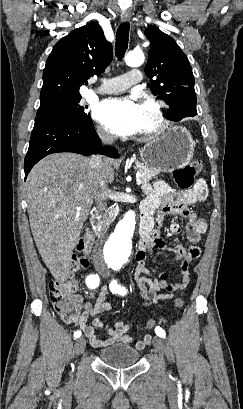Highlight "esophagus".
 Masks as SVG:
<instances>
[{
    "label": "esophagus",
    "instance_id": "34e87169",
    "mask_svg": "<svg viewBox=\"0 0 243 409\" xmlns=\"http://www.w3.org/2000/svg\"><path fill=\"white\" fill-rule=\"evenodd\" d=\"M130 18H131L130 12H125V13H123V14L121 15V21H122V22H127V21L130 20Z\"/></svg>",
    "mask_w": 243,
    "mask_h": 409
}]
</instances>
